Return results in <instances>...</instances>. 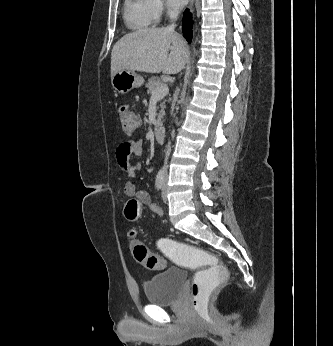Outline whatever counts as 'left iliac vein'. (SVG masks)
I'll return each instance as SVG.
<instances>
[{
    "instance_id": "1",
    "label": "left iliac vein",
    "mask_w": 333,
    "mask_h": 346,
    "mask_svg": "<svg viewBox=\"0 0 333 346\" xmlns=\"http://www.w3.org/2000/svg\"><path fill=\"white\" fill-rule=\"evenodd\" d=\"M167 180H168V175L165 174L164 185H163V188H162V200L164 202H167Z\"/></svg>"
}]
</instances>
